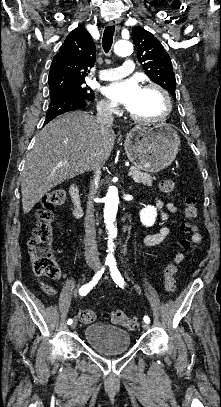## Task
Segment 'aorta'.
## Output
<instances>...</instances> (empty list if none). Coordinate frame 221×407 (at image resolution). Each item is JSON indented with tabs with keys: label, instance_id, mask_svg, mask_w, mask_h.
<instances>
[{
	"label": "aorta",
	"instance_id": "1",
	"mask_svg": "<svg viewBox=\"0 0 221 407\" xmlns=\"http://www.w3.org/2000/svg\"><path fill=\"white\" fill-rule=\"evenodd\" d=\"M114 52L121 57L128 56L133 52V45L126 40L118 41L114 46ZM119 196L115 186H110L106 197L104 207V222L108 230V250L109 254L107 261H114V243L113 239L117 236V228L115 226L116 214L118 210Z\"/></svg>",
	"mask_w": 221,
	"mask_h": 407
}]
</instances>
